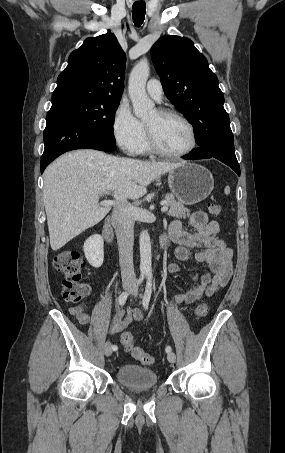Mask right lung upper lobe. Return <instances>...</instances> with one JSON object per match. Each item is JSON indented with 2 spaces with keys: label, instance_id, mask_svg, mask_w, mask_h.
Here are the masks:
<instances>
[{
  "label": "right lung upper lobe",
  "instance_id": "cb5924a9",
  "mask_svg": "<svg viewBox=\"0 0 285 453\" xmlns=\"http://www.w3.org/2000/svg\"><path fill=\"white\" fill-rule=\"evenodd\" d=\"M125 60L113 33L87 38L70 54L68 66L58 76L52 100L71 95L121 99Z\"/></svg>",
  "mask_w": 285,
  "mask_h": 453
}]
</instances>
